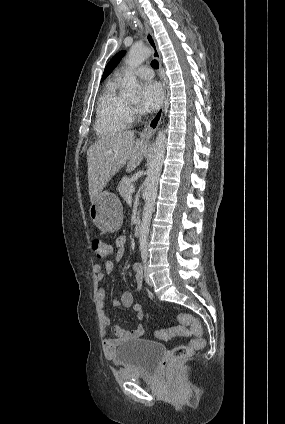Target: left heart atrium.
Listing matches in <instances>:
<instances>
[{
	"label": "left heart atrium",
	"instance_id": "1",
	"mask_svg": "<svg viewBox=\"0 0 285 424\" xmlns=\"http://www.w3.org/2000/svg\"><path fill=\"white\" fill-rule=\"evenodd\" d=\"M163 90L160 84L150 80L143 83L141 87L140 107L144 111H154L162 103Z\"/></svg>",
	"mask_w": 285,
	"mask_h": 424
}]
</instances>
